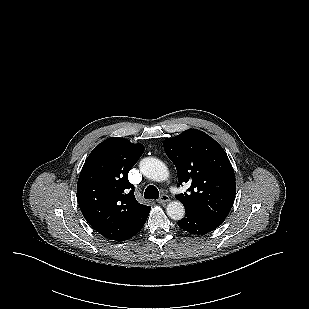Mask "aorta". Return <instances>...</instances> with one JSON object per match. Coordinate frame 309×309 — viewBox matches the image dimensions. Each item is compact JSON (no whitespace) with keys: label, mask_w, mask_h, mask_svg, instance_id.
<instances>
[{"label":"aorta","mask_w":309,"mask_h":309,"mask_svg":"<svg viewBox=\"0 0 309 309\" xmlns=\"http://www.w3.org/2000/svg\"><path fill=\"white\" fill-rule=\"evenodd\" d=\"M139 167L142 174L153 181L162 182L169 177L167 166L157 158H144ZM166 213L173 220H181L185 215V208L180 201H172L167 205Z\"/></svg>","instance_id":"762f6f07"}]
</instances>
